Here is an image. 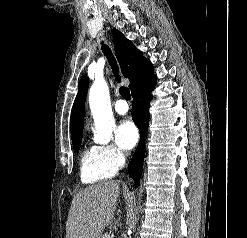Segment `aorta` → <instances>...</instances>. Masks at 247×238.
<instances>
[{"instance_id":"762f6f07","label":"aorta","mask_w":247,"mask_h":238,"mask_svg":"<svg viewBox=\"0 0 247 238\" xmlns=\"http://www.w3.org/2000/svg\"><path fill=\"white\" fill-rule=\"evenodd\" d=\"M89 105L95 123L94 141L107 144L112 139V130L115 125L112 114L109 88L104 79H97L91 86Z\"/></svg>"}]
</instances>
